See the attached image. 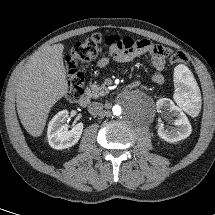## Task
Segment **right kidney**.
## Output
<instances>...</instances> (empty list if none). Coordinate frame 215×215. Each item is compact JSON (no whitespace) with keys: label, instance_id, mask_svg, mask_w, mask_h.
<instances>
[{"label":"right kidney","instance_id":"right-kidney-1","mask_svg":"<svg viewBox=\"0 0 215 215\" xmlns=\"http://www.w3.org/2000/svg\"><path fill=\"white\" fill-rule=\"evenodd\" d=\"M69 117L68 111L57 113L49 122L47 136L49 145L57 150L66 149L75 145L82 134L83 124L78 123L74 128L68 130L66 121Z\"/></svg>","mask_w":215,"mask_h":215}]
</instances>
